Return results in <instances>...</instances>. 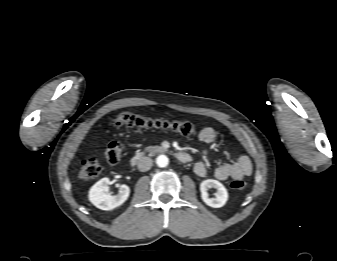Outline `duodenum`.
Here are the masks:
<instances>
[{
	"instance_id": "obj_1",
	"label": "duodenum",
	"mask_w": 337,
	"mask_h": 261,
	"mask_svg": "<svg viewBox=\"0 0 337 261\" xmlns=\"http://www.w3.org/2000/svg\"><path fill=\"white\" fill-rule=\"evenodd\" d=\"M142 158L143 157L140 154L134 155L130 160L131 166H137L141 162ZM176 158L182 163H188L191 161V156L185 152H177Z\"/></svg>"
}]
</instances>
